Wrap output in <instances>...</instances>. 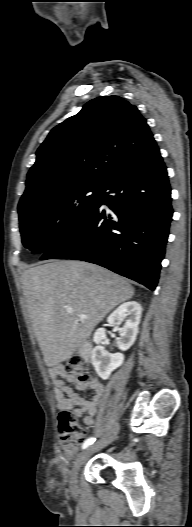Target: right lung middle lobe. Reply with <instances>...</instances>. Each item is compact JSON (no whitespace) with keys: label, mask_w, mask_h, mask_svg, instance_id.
Wrapping results in <instances>:
<instances>
[{"label":"right lung middle lobe","mask_w":192,"mask_h":527,"mask_svg":"<svg viewBox=\"0 0 192 527\" xmlns=\"http://www.w3.org/2000/svg\"><path fill=\"white\" fill-rule=\"evenodd\" d=\"M103 185L85 183L18 206L22 243L45 253L75 230L99 201Z\"/></svg>","instance_id":"dd1d6c3e"}]
</instances>
